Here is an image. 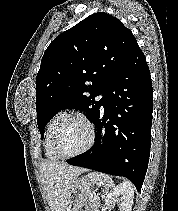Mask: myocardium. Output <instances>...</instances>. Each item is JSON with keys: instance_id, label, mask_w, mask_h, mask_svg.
I'll use <instances>...</instances> for the list:
<instances>
[{"instance_id": "1", "label": "myocardium", "mask_w": 178, "mask_h": 211, "mask_svg": "<svg viewBox=\"0 0 178 211\" xmlns=\"http://www.w3.org/2000/svg\"><path fill=\"white\" fill-rule=\"evenodd\" d=\"M70 120H79L87 126V128H88V141H87L86 145L80 151L73 153V154L66 155V154H62L59 151L57 140H58V135H59L61 129ZM94 141H95V128H94V125L91 122V120L81 113H70V114H67L63 118V120L59 123V125L55 129V132H54V135H53V140H52V147H53L54 152L57 154V156L59 158L69 159V158L77 157V156L82 155L85 152H87L92 147V145L94 144Z\"/></svg>"}]
</instances>
